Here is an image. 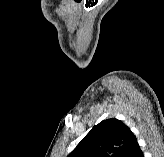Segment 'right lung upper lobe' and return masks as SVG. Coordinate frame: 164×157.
Segmentation results:
<instances>
[{
  "mask_svg": "<svg viewBox=\"0 0 164 157\" xmlns=\"http://www.w3.org/2000/svg\"><path fill=\"white\" fill-rule=\"evenodd\" d=\"M136 141L123 122L111 118L94 126L67 157H125Z\"/></svg>",
  "mask_w": 164,
  "mask_h": 157,
  "instance_id": "obj_1",
  "label": "right lung upper lobe"
}]
</instances>
